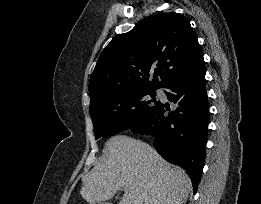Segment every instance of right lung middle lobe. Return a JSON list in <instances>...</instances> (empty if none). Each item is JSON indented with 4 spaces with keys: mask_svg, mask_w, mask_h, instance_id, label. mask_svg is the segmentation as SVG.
<instances>
[{
    "mask_svg": "<svg viewBox=\"0 0 261 204\" xmlns=\"http://www.w3.org/2000/svg\"><path fill=\"white\" fill-rule=\"evenodd\" d=\"M155 96V90H130L90 107L96 139L110 137L140 122L158 104Z\"/></svg>",
    "mask_w": 261,
    "mask_h": 204,
    "instance_id": "1",
    "label": "right lung middle lobe"
}]
</instances>
